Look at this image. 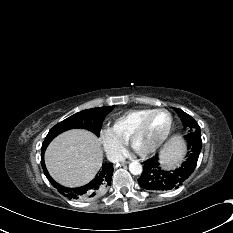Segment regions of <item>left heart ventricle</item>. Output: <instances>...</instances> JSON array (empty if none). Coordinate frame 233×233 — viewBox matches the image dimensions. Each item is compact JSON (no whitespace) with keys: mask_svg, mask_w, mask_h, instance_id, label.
Instances as JSON below:
<instances>
[{"mask_svg":"<svg viewBox=\"0 0 233 233\" xmlns=\"http://www.w3.org/2000/svg\"><path fill=\"white\" fill-rule=\"evenodd\" d=\"M169 123V117L166 112L160 111L153 114L137 141L140 149H146L156 143L164 134Z\"/></svg>","mask_w":233,"mask_h":233,"instance_id":"obj_1","label":"left heart ventricle"}]
</instances>
